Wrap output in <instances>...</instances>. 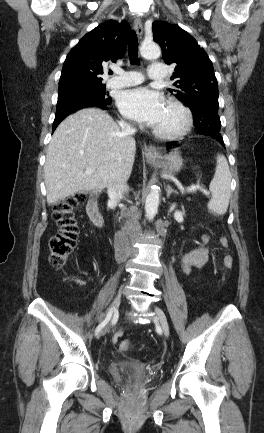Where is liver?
<instances>
[{"instance_id": "obj_1", "label": "liver", "mask_w": 264, "mask_h": 433, "mask_svg": "<svg viewBox=\"0 0 264 433\" xmlns=\"http://www.w3.org/2000/svg\"><path fill=\"white\" fill-rule=\"evenodd\" d=\"M136 143L122 134L112 117L96 108L68 116L55 130L44 165L47 203L77 192H100L111 177L128 180ZM86 169H92L85 175Z\"/></svg>"}]
</instances>
